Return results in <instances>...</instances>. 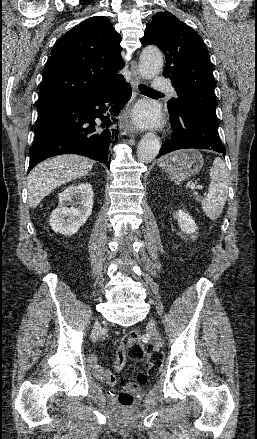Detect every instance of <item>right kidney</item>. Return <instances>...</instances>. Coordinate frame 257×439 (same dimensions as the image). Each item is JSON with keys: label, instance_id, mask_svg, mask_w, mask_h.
Here are the masks:
<instances>
[{"label": "right kidney", "instance_id": "obj_1", "mask_svg": "<svg viewBox=\"0 0 257 439\" xmlns=\"http://www.w3.org/2000/svg\"><path fill=\"white\" fill-rule=\"evenodd\" d=\"M92 207L93 190L89 183L68 186L59 195V205L51 213L52 230L66 236L73 235L91 215Z\"/></svg>", "mask_w": 257, "mask_h": 439}]
</instances>
